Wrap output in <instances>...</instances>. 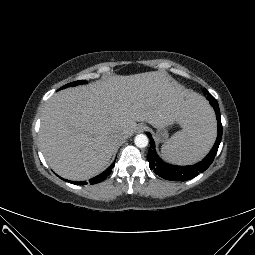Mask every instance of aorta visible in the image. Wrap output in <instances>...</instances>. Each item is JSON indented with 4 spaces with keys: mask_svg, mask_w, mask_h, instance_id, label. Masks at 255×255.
<instances>
[{
    "mask_svg": "<svg viewBox=\"0 0 255 255\" xmlns=\"http://www.w3.org/2000/svg\"><path fill=\"white\" fill-rule=\"evenodd\" d=\"M134 143L138 148H145L148 145V137L144 134L135 136Z\"/></svg>",
    "mask_w": 255,
    "mask_h": 255,
    "instance_id": "obj_1",
    "label": "aorta"
}]
</instances>
